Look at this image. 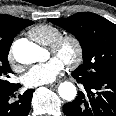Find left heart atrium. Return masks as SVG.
Listing matches in <instances>:
<instances>
[{"instance_id": "left-heart-atrium-1", "label": "left heart atrium", "mask_w": 116, "mask_h": 116, "mask_svg": "<svg viewBox=\"0 0 116 116\" xmlns=\"http://www.w3.org/2000/svg\"><path fill=\"white\" fill-rule=\"evenodd\" d=\"M65 68V61L54 56L48 61L32 66L23 76V83L36 87L54 82Z\"/></svg>"}]
</instances>
